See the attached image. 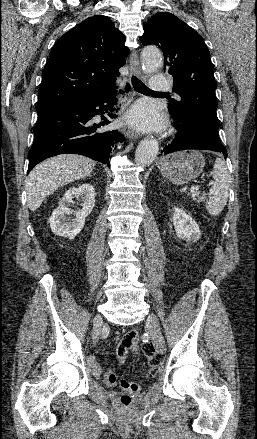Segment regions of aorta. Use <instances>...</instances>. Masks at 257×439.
I'll return each mask as SVG.
<instances>
[{
	"instance_id": "1",
	"label": "aorta",
	"mask_w": 257,
	"mask_h": 439,
	"mask_svg": "<svg viewBox=\"0 0 257 439\" xmlns=\"http://www.w3.org/2000/svg\"><path fill=\"white\" fill-rule=\"evenodd\" d=\"M142 69L146 73L155 72L162 64V53L156 47H145L141 52ZM159 151L158 142L152 138L142 140L135 153V160L142 166L150 165Z\"/></svg>"
}]
</instances>
